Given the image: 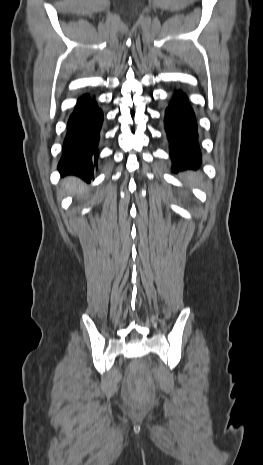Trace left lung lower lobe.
<instances>
[{"instance_id": "obj_1", "label": "left lung lower lobe", "mask_w": 263, "mask_h": 465, "mask_svg": "<svg viewBox=\"0 0 263 465\" xmlns=\"http://www.w3.org/2000/svg\"><path fill=\"white\" fill-rule=\"evenodd\" d=\"M164 124L171 145L172 170L197 169L201 163L197 122L186 95L174 94Z\"/></svg>"}]
</instances>
